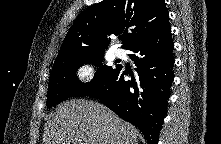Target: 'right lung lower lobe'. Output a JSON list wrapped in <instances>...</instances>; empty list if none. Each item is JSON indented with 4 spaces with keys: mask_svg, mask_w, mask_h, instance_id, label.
<instances>
[{
    "mask_svg": "<svg viewBox=\"0 0 221 144\" xmlns=\"http://www.w3.org/2000/svg\"><path fill=\"white\" fill-rule=\"evenodd\" d=\"M173 48L168 23L128 48L134 52L130 58L136 66L135 76L119 66L106 82L85 96L98 97L123 120L138 127L148 144H157L174 78ZM127 73L132 77L129 81L124 80Z\"/></svg>",
    "mask_w": 221,
    "mask_h": 144,
    "instance_id": "obj_1",
    "label": "right lung lower lobe"
}]
</instances>
